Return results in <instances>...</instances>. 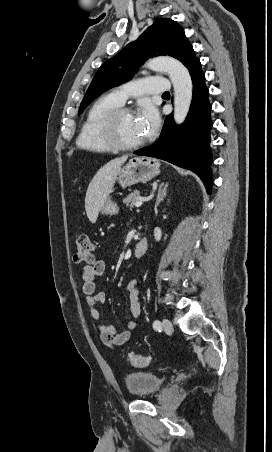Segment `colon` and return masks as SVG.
<instances>
[{
    "mask_svg": "<svg viewBox=\"0 0 272 452\" xmlns=\"http://www.w3.org/2000/svg\"><path fill=\"white\" fill-rule=\"evenodd\" d=\"M74 260L76 263H92L94 261V244L91 237L81 232L76 238V251L74 254ZM128 361L135 367H146L151 364V358L139 354H131L128 357Z\"/></svg>",
    "mask_w": 272,
    "mask_h": 452,
    "instance_id": "1",
    "label": "colon"
}]
</instances>
